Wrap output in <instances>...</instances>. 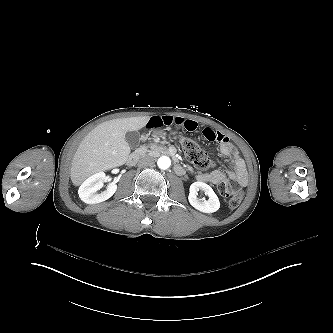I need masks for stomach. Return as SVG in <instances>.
<instances>
[{
    "instance_id": "stomach-1",
    "label": "stomach",
    "mask_w": 333,
    "mask_h": 333,
    "mask_svg": "<svg viewBox=\"0 0 333 333\" xmlns=\"http://www.w3.org/2000/svg\"><path fill=\"white\" fill-rule=\"evenodd\" d=\"M156 134H159V133L157 132ZM147 137H148V135L145 136V138H147Z\"/></svg>"
}]
</instances>
